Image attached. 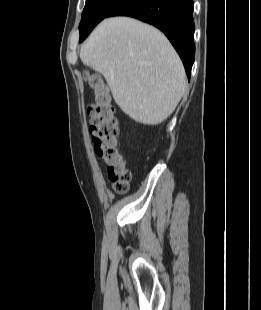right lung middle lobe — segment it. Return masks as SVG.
<instances>
[{"mask_svg": "<svg viewBox=\"0 0 261 310\" xmlns=\"http://www.w3.org/2000/svg\"><path fill=\"white\" fill-rule=\"evenodd\" d=\"M124 0H86L79 25L80 41L85 32L91 30Z\"/></svg>", "mask_w": 261, "mask_h": 310, "instance_id": "obj_1", "label": "right lung middle lobe"}]
</instances>
